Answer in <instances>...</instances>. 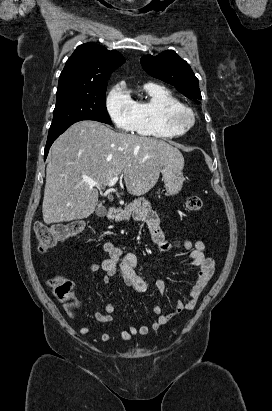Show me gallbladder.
<instances>
[{
  "label": "gallbladder",
  "instance_id": "gallbladder-1",
  "mask_svg": "<svg viewBox=\"0 0 272 411\" xmlns=\"http://www.w3.org/2000/svg\"><path fill=\"white\" fill-rule=\"evenodd\" d=\"M97 216L103 217L106 215V208L103 206L102 203H99L96 208Z\"/></svg>",
  "mask_w": 272,
  "mask_h": 411
}]
</instances>
